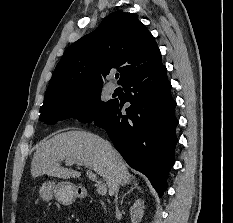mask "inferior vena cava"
Returning a JSON list of instances; mask_svg holds the SVG:
<instances>
[{
	"label": "inferior vena cava",
	"instance_id": "obj_1",
	"mask_svg": "<svg viewBox=\"0 0 233 223\" xmlns=\"http://www.w3.org/2000/svg\"><path fill=\"white\" fill-rule=\"evenodd\" d=\"M108 147H109V149H111V145H110L109 141H108ZM117 175H118V173H117ZM119 185H120V181L117 177V179H114V193L116 195V197H115L116 203H117V199H118L117 195H118V191H119ZM116 209H117V207H116Z\"/></svg>",
	"mask_w": 233,
	"mask_h": 223
}]
</instances>
